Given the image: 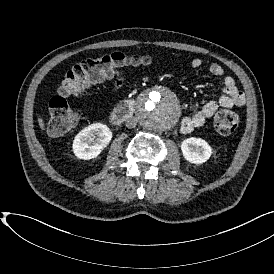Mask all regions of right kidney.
Segmentation results:
<instances>
[{"instance_id":"right-kidney-1","label":"right kidney","mask_w":274,"mask_h":274,"mask_svg":"<svg viewBox=\"0 0 274 274\" xmlns=\"http://www.w3.org/2000/svg\"><path fill=\"white\" fill-rule=\"evenodd\" d=\"M112 137V131L107 125L102 123L90 124L74 137L72 153L81 160L96 159L108 147ZM93 138L94 141L92 142Z\"/></svg>"}]
</instances>
